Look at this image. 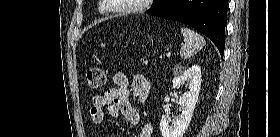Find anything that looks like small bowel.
Returning <instances> with one entry per match:
<instances>
[{"label":"small bowel","instance_id":"1","mask_svg":"<svg viewBox=\"0 0 280 137\" xmlns=\"http://www.w3.org/2000/svg\"><path fill=\"white\" fill-rule=\"evenodd\" d=\"M114 86L105 90L103 94L91 98L89 116L94 124L104 120L103 108L107 107L111 118L125 117L139 127V137H152V125L142 119L137 109L132 105L130 97L144 101L150 92L151 83L142 74H135L131 80L123 72L113 76Z\"/></svg>","mask_w":280,"mask_h":137}]
</instances>
